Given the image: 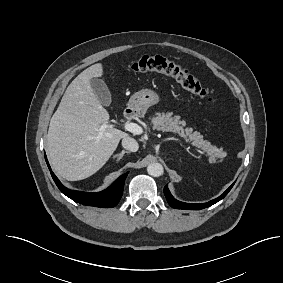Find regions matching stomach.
I'll return each instance as SVG.
<instances>
[{
	"instance_id": "obj_1",
	"label": "stomach",
	"mask_w": 283,
	"mask_h": 283,
	"mask_svg": "<svg viewBox=\"0 0 283 283\" xmlns=\"http://www.w3.org/2000/svg\"><path fill=\"white\" fill-rule=\"evenodd\" d=\"M160 101L158 93L152 89H143L133 94L128 107L139 115H144L147 109Z\"/></svg>"
}]
</instances>
